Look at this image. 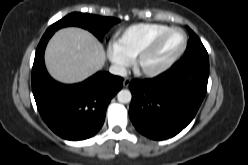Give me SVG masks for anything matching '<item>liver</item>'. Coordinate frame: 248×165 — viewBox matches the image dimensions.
<instances>
[{"instance_id": "obj_1", "label": "liver", "mask_w": 248, "mask_h": 165, "mask_svg": "<svg viewBox=\"0 0 248 165\" xmlns=\"http://www.w3.org/2000/svg\"><path fill=\"white\" fill-rule=\"evenodd\" d=\"M105 60L102 44L87 30L75 27L58 30L45 51L49 74L67 84L90 77L103 68Z\"/></svg>"}]
</instances>
